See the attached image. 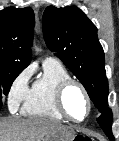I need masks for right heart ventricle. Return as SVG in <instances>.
Segmentation results:
<instances>
[{
    "label": "right heart ventricle",
    "instance_id": "obj_1",
    "mask_svg": "<svg viewBox=\"0 0 119 141\" xmlns=\"http://www.w3.org/2000/svg\"><path fill=\"white\" fill-rule=\"evenodd\" d=\"M71 76L56 60H45L42 74L33 82L23 102L22 113L26 116L63 120L55 104L57 86Z\"/></svg>",
    "mask_w": 119,
    "mask_h": 141
}]
</instances>
